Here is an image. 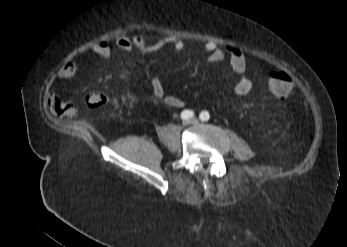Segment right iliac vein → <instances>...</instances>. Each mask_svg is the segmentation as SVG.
<instances>
[{
  "mask_svg": "<svg viewBox=\"0 0 347 247\" xmlns=\"http://www.w3.org/2000/svg\"><path fill=\"white\" fill-rule=\"evenodd\" d=\"M190 124H192L190 120L183 121V126H188Z\"/></svg>",
  "mask_w": 347,
  "mask_h": 247,
  "instance_id": "1",
  "label": "right iliac vein"
}]
</instances>
